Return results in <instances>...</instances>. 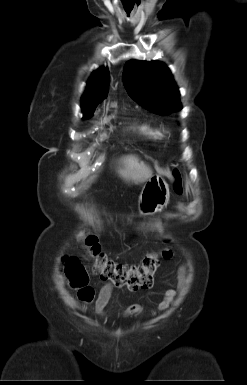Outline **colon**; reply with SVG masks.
I'll return each instance as SVG.
<instances>
[{
    "mask_svg": "<svg viewBox=\"0 0 247 385\" xmlns=\"http://www.w3.org/2000/svg\"><path fill=\"white\" fill-rule=\"evenodd\" d=\"M173 189L176 193L182 192L181 177L177 171L173 172ZM83 247L92 261L93 272L96 275L114 286L126 287L131 291L151 287L160 260L172 257L171 249L163 248L147 253L139 265L129 266L110 259L93 236L85 238ZM64 269L70 286L77 291L79 299L90 303L94 298V290L89 285L88 274L80 261L74 257H67Z\"/></svg>",
    "mask_w": 247,
    "mask_h": 385,
    "instance_id": "colon-1",
    "label": "colon"
}]
</instances>
